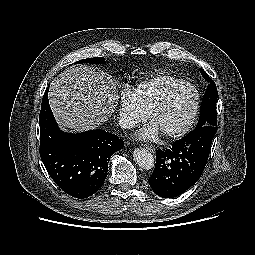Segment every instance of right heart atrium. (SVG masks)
<instances>
[{
  "label": "right heart atrium",
  "instance_id": "obj_1",
  "mask_svg": "<svg viewBox=\"0 0 255 255\" xmlns=\"http://www.w3.org/2000/svg\"><path fill=\"white\" fill-rule=\"evenodd\" d=\"M119 120L124 128L131 129L147 118L146 111L137 101L134 91L124 87L119 99Z\"/></svg>",
  "mask_w": 255,
  "mask_h": 255
}]
</instances>
